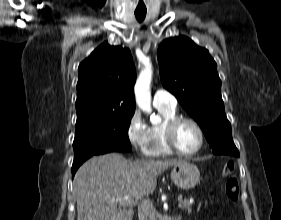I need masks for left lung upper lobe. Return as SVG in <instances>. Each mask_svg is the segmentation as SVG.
<instances>
[{"label":"left lung upper lobe","instance_id":"5c2ea615","mask_svg":"<svg viewBox=\"0 0 281 220\" xmlns=\"http://www.w3.org/2000/svg\"><path fill=\"white\" fill-rule=\"evenodd\" d=\"M163 86L200 125L214 154L235 155L221 96L217 64L205 48L185 36L164 40L157 51Z\"/></svg>","mask_w":281,"mask_h":220}]
</instances>
